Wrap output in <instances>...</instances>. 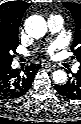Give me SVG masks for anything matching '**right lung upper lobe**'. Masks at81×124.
Listing matches in <instances>:
<instances>
[{
    "mask_svg": "<svg viewBox=\"0 0 81 124\" xmlns=\"http://www.w3.org/2000/svg\"><path fill=\"white\" fill-rule=\"evenodd\" d=\"M29 6L25 1H8L0 5V47L6 41L18 42L20 21Z\"/></svg>",
    "mask_w": 81,
    "mask_h": 124,
    "instance_id": "right-lung-upper-lobe-1",
    "label": "right lung upper lobe"
}]
</instances>
